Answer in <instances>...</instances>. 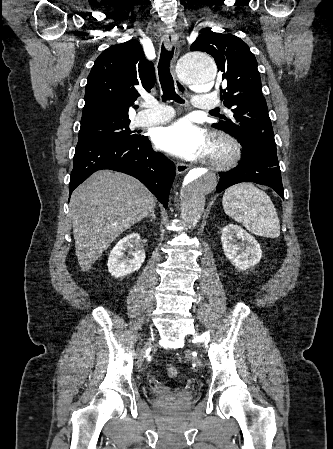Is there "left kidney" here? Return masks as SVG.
<instances>
[{"label":"left kidney","mask_w":333,"mask_h":449,"mask_svg":"<svg viewBox=\"0 0 333 449\" xmlns=\"http://www.w3.org/2000/svg\"><path fill=\"white\" fill-rule=\"evenodd\" d=\"M221 242L225 256L239 270L255 266L262 257L257 240L238 225L225 226L221 232Z\"/></svg>","instance_id":"1"}]
</instances>
